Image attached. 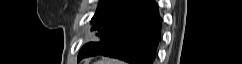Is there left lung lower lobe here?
Returning <instances> with one entry per match:
<instances>
[{"instance_id":"1","label":"left lung lower lobe","mask_w":242,"mask_h":64,"mask_svg":"<svg viewBox=\"0 0 242 64\" xmlns=\"http://www.w3.org/2000/svg\"><path fill=\"white\" fill-rule=\"evenodd\" d=\"M161 18L155 0H120L98 20L100 42L85 44L78 61L104 55L129 64H153L161 39Z\"/></svg>"}]
</instances>
